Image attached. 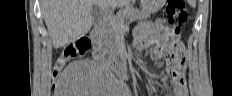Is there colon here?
<instances>
[{"label":"colon","instance_id":"obj_1","mask_svg":"<svg viewBox=\"0 0 232 96\" xmlns=\"http://www.w3.org/2000/svg\"><path fill=\"white\" fill-rule=\"evenodd\" d=\"M165 15L166 20H159L157 25H164V30H166L167 33L166 35H163V39L161 40L162 42L169 44L162 46L160 51L162 56H165L172 62L173 66H176L175 57L178 49L175 45V41L181 34V26L188 19L185 2L183 0H167ZM89 47L90 41L87 38H81L74 43L66 44L55 61L53 67L54 76L58 74L68 60L85 56ZM176 71L179 72L180 69L178 68Z\"/></svg>","mask_w":232,"mask_h":96}]
</instances>
